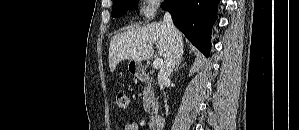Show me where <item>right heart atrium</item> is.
Masks as SVG:
<instances>
[{
	"label": "right heart atrium",
	"mask_w": 299,
	"mask_h": 130,
	"mask_svg": "<svg viewBox=\"0 0 299 130\" xmlns=\"http://www.w3.org/2000/svg\"><path fill=\"white\" fill-rule=\"evenodd\" d=\"M159 5H160V1H157V0L144 1L143 5L141 7L142 15L147 19L153 18L155 13L158 10Z\"/></svg>",
	"instance_id": "right-heart-atrium-1"
}]
</instances>
